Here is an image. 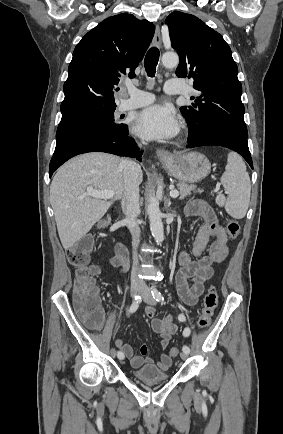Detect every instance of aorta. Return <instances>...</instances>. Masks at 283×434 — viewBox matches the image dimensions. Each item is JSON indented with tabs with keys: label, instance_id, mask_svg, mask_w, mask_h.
Listing matches in <instances>:
<instances>
[{
	"label": "aorta",
	"instance_id": "obj_1",
	"mask_svg": "<svg viewBox=\"0 0 283 434\" xmlns=\"http://www.w3.org/2000/svg\"><path fill=\"white\" fill-rule=\"evenodd\" d=\"M179 63V57L176 53H165L162 56V64L165 67H176ZM147 213L149 216L150 230L152 236L157 243H161L164 240V228L162 223L161 211L159 208V202L154 196H150Z\"/></svg>",
	"mask_w": 283,
	"mask_h": 434
}]
</instances>
